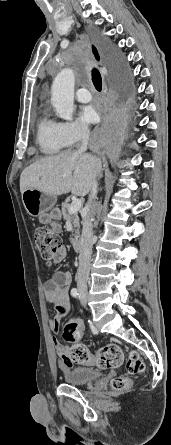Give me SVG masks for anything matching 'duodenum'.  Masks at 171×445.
Masks as SVG:
<instances>
[{
	"mask_svg": "<svg viewBox=\"0 0 171 445\" xmlns=\"http://www.w3.org/2000/svg\"><path fill=\"white\" fill-rule=\"evenodd\" d=\"M72 244H73V248H74L75 251L79 252V251L82 250V243H81V239L80 238L75 237L73 239Z\"/></svg>",
	"mask_w": 171,
	"mask_h": 445,
	"instance_id": "410a0bca",
	"label": "duodenum"
}]
</instances>
